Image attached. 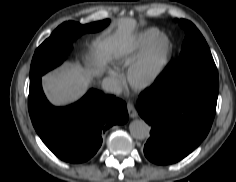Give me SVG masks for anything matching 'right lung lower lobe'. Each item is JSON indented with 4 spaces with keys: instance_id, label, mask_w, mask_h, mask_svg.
<instances>
[{
    "instance_id": "right-lung-lower-lobe-1",
    "label": "right lung lower lobe",
    "mask_w": 236,
    "mask_h": 182,
    "mask_svg": "<svg viewBox=\"0 0 236 182\" xmlns=\"http://www.w3.org/2000/svg\"><path fill=\"white\" fill-rule=\"evenodd\" d=\"M28 109L45 145L70 163L89 160L100 148L105 131L128 120L122 100L96 89L70 106L54 107L43 93L41 76L30 79Z\"/></svg>"
}]
</instances>
